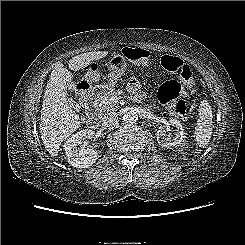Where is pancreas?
<instances>
[{
  "mask_svg": "<svg viewBox=\"0 0 245 245\" xmlns=\"http://www.w3.org/2000/svg\"><path fill=\"white\" fill-rule=\"evenodd\" d=\"M121 90L111 89L107 91L99 100V109L103 112H114L119 109V105L111 101L112 97H117L121 94Z\"/></svg>",
  "mask_w": 245,
  "mask_h": 245,
  "instance_id": "pancreas-1",
  "label": "pancreas"
}]
</instances>
